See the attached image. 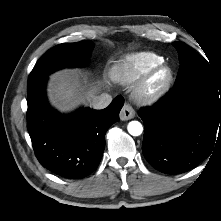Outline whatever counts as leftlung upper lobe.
<instances>
[{
  "instance_id": "obj_1",
  "label": "left lung upper lobe",
  "mask_w": 221,
  "mask_h": 221,
  "mask_svg": "<svg viewBox=\"0 0 221 221\" xmlns=\"http://www.w3.org/2000/svg\"><path fill=\"white\" fill-rule=\"evenodd\" d=\"M180 68L174 86L188 83L203 84L221 94V74L217 75L208 62L184 43L174 42Z\"/></svg>"
}]
</instances>
